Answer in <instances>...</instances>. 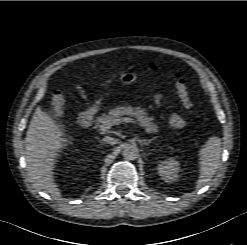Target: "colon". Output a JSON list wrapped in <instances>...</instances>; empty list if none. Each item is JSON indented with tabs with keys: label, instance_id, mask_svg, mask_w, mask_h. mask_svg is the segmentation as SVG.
Masks as SVG:
<instances>
[{
	"label": "colon",
	"instance_id": "1",
	"mask_svg": "<svg viewBox=\"0 0 247 245\" xmlns=\"http://www.w3.org/2000/svg\"><path fill=\"white\" fill-rule=\"evenodd\" d=\"M151 68L158 69L159 67L156 63H152ZM174 79H175L176 91L183 107L188 111H191L193 105L188 89L187 80L180 72H176L174 74ZM64 102L65 100L62 92L55 91L52 96V108H53V112L56 115H60L62 113ZM169 125L173 129H182L185 127L186 121L182 116L175 114L170 117Z\"/></svg>",
	"mask_w": 247,
	"mask_h": 245
}]
</instances>
